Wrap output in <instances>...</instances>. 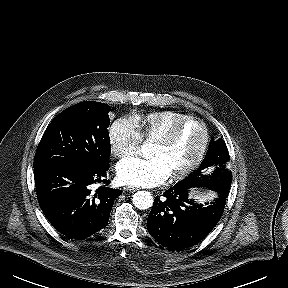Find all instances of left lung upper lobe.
<instances>
[{
    "label": "left lung upper lobe",
    "instance_id": "left-lung-upper-lobe-1",
    "mask_svg": "<svg viewBox=\"0 0 288 288\" xmlns=\"http://www.w3.org/2000/svg\"><path fill=\"white\" fill-rule=\"evenodd\" d=\"M228 160L229 153L223 139L220 138L217 141L211 140L208 152L198 170L178 182V184L190 186L204 185L219 193L228 195L232 182L231 172L225 169ZM211 166L219 167H217L212 176L203 177L202 173L204 170Z\"/></svg>",
    "mask_w": 288,
    "mask_h": 288
}]
</instances>
